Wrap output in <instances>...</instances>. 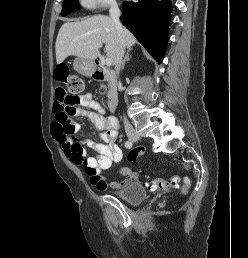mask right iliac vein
<instances>
[{"label": "right iliac vein", "instance_id": "right-iliac-vein-1", "mask_svg": "<svg viewBox=\"0 0 248 258\" xmlns=\"http://www.w3.org/2000/svg\"><path fill=\"white\" fill-rule=\"evenodd\" d=\"M128 137L132 141L140 140L142 138V135L138 132L132 131L128 134Z\"/></svg>", "mask_w": 248, "mask_h": 258}]
</instances>
